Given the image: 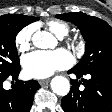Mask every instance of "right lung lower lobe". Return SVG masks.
<instances>
[{
  "label": "right lung lower lobe",
  "instance_id": "1",
  "mask_svg": "<svg viewBox=\"0 0 112 112\" xmlns=\"http://www.w3.org/2000/svg\"><path fill=\"white\" fill-rule=\"evenodd\" d=\"M20 65L12 69L6 75L0 77V112H29L32 106L35 92L40 85L35 80L18 81ZM11 77L16 83L10 90L3 89V82Z\"/></svg>",
  "mask_w": 112,
  "mask_h": 112
}]
</instances>
